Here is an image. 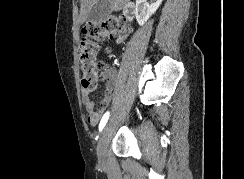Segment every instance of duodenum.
<instances>
[{"label":"duodenum","mask_w":244,"mask_h":179,"mask_svg":"<svg viewBox=\"0 0 244 179\" xmlns=\"http://www.w3.org/2000/svg\"><path fill=\"white\" fill-rule=\"evenodd\" d=\"M134 13H135V7H134L133 3H131V2L127 3L123 10V15L126 18H132Z\"/></svg>","instance_id":"1"}]
</instances>
